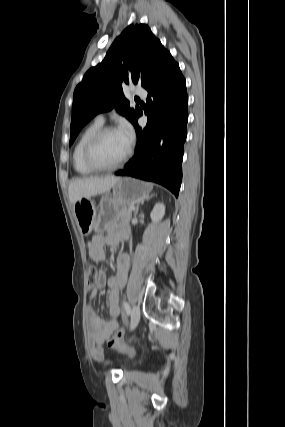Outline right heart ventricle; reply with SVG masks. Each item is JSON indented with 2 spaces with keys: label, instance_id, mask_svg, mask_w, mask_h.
Wrapping results in <instances>:
<instances>
[{
  "label": "right heart ventricle",
  "instance_id": "e07e8e85",
  "mask_svg": "<svg viewBox=\"0 0 285 427\" xmlns=\"http://www.w3.org/2000/svg\"><path fill=\"white\" fill-rule=\"evenodd\" d=\"M103 127V123L99 121H94L89 124L80 134L72 154L73 166L75 171L81 175H91L95 171L88 167L83 159V151L88 140L101 128Z\"/></svg>",
  "mask_w": 285,
  "mask_h": 427
}]
</instances>
